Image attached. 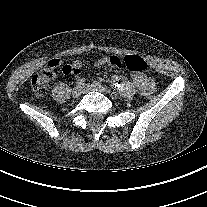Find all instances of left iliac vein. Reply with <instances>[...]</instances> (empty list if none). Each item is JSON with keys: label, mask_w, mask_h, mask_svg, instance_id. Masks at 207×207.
I'll use <instances>...</instances> for the list:
<instances>
[{"label": "left iliac vein", "mask_w": 207, "mask_h": 207, "mask_svg": "<svg viewBox=\"0 0 207 207\" xmlns=\"http://www.w3.org/2000/svg\"><path fill=\"white\" fill-rule=\"evenodd\" d=\"M92 90L99 91V92H102V93H104L106 91V89L100 88V87H97V86H94V85H84L83 88H82V91L84 93L92 91Z\"/></svg>", "instance_id": "1"}]
</instances>
